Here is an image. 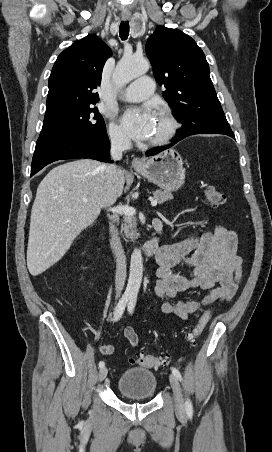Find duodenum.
<instances>
[{"label":"duodenum","instance_id":"1","mask_svg":"<svg viewBox=\"0 0 272 452\" xmlns=\"http://www.w3.org/2000/svg\"><path fill=\"white\" fill-rule=\"evenodd\" d=\"M152 226L154 229V236L146 242L142 251L147 257L158 256L159 253V237L163 230V221L160 218H155L152 221Z\"/></svg>","mask_w":272,"mask_h":452}]
</instances>
